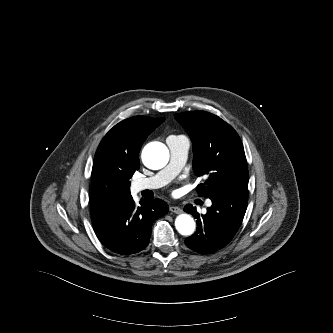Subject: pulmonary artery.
Returning a JSON list of instances; mask_svg holds the SVG:
<instances>
[{
	"mask_svg": "<svg viewBox=\"0 0 333 333\" xmlns=\"http://www.w3.org/2000/svg\"><path fill=\"white\" fill-rule=\"evenodd\" d=\"M170 151V162L160 172L148 178H140L134 182L137 191L157 189L167 185L184 166L189 149V141L185 137H168L166 140ZM208 206L211 202L207 203Z\"/></svg>",
	"mask_w": 333,
	"mask_h": 333,
	"instance_id": "pulmonary-artery-1",
	"label": "pulmonary artery"
}]
</instances>
